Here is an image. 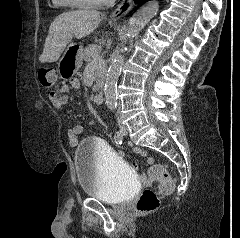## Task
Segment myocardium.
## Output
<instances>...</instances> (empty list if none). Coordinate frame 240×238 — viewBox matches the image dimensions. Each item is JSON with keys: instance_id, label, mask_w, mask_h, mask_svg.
<instances>
[{"instance_id": "1", "label": "myocardium", "mask_w": 240, "mask_h": 238, "mask_svg": "<svg viewBox=\"0 0 240 238\" xmlns=\"http://www.w3.org/2000/svg\"><path fill=\"white\" fill-rule=\"evenodd\" d=\"M67 4L73 7L81 8H99L113 2V0L90 1V0H64Z\"/></svg>"}]
</instances>
